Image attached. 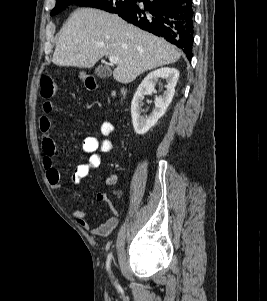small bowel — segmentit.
Here are the masks:
<instances>
[{
    "mask_svg": "<svg viewBox=\"0 0 267 301\" xmlns=\"http://www.w3.org/2000/svg\"><path fill=\"white\" fill-rule=\"evenodd\" d=\"M42 115L39 118L38 126L41 132L42 148L44 152L43 167L46 171L47 179L51 187L55 190L60 189V174L54 166V158L58 152L55 142L50 136L51 119L49 114L53 110L52 101L46 99L42 103ZM115 125L110 121H104L100 126V133L104 139L100 140L96 136H88L82 142V153L88 155L86 162H79L71 176V182L78 185L82 179L89 175L91 169L98 168L101 164L102 154L111 152L114 146L112 136L115 133ZM115 182V177L106 179L107 184ZM99 202L108 203L106 193L100 192L96 196ZM112 215L102 224L94 225L87 220V215L79 209L73 210V216L77 223L95 236L107 237L116 229L119 219L115 210L111 207Z\"/></svg>",
    "mask_w": 267,
    "mask_h": 301,
    "instance_id": "c3829d8e",
    "label": "small bowel"
}]
</instances>
